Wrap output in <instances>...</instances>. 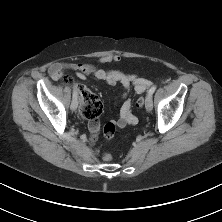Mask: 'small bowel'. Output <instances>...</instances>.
<instances>
[{"label": "small bowel", "mask_w": 222, "mask_h": 222, "mask_svg": "<svg viewBox=\"0 0 222 222\" xmlns=\"http://www.w3.org/2000/svg\"><path fill=\"white\" fill-rule=\"evenodd\" d=\"M120 61V57L115 54H108L98 58L97 63H113ZM64 70H72L81 80L91 77L99 81H104L109 85L119 83L123 88L121 98L123 103L120 108L119 118L113 123L118 128H124L127 125H134L138 122L137 117L132 112V102L128 94L133 87L137 94H142L151 82L134 74H127L119 70H104L97 67L94 63H55L50 66L49 74L54 80L61 78ZM102 112V111H101ZM93 116L88 119V128L90 131V141L94 143L100 127L99 116Z\"/></svg>", "instance_id": "c3829d8e"}]
</instances>
